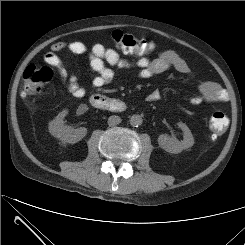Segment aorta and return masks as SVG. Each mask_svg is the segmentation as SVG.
<instances>
[{
    "label": "aorta",
    "mask_w": 245,
    "mask_h": 245,
    "mask_svg": "<svg viewBox=\"0 0 245 245\" xmlns=\"http://www.w3.org/2000/svg\"><path fill=\"white\" fill-rule=\"evenodd\" d=\"M129 121L130 125L133 127H138L143 122L142 117L140 115H132Z\"/></svg>",
    "instance_id": "aorta-1"
}]
</instances>
